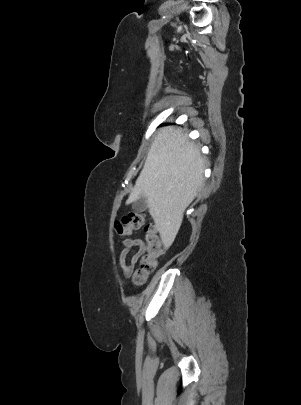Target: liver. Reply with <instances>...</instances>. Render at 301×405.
<instances>
[{
    "instance_id": "obj_1",
    "label": "liver",
    "mask_w": 301,
    "mask_h": 405,
    "mask_svg": "<svg viewBox=\"0 0 301 405\" xmlns=\"http://www.w3.org/2000/svg\"><path fill=\"white\" fill-rule=\"evenodd\" d=\"M204 158L186 133L162 128L149 149L127 204L147 199L149 213L166 248L173 243L184 212L203 184Z\"/></svg>"
}]
</instances>
